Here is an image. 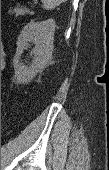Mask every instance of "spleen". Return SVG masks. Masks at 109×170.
I'll use <instances>...</instances> for the list:
<instances>
[{"label": "spleen", "instance_id": "3e777b00", "mask_svg": "<svg viewBox=\"0 0 109 170\" xmlns=\"http://www.w3.org/2000/svg\"><path fill=\"white\" fill-rule=\"evenodd\" d=\"M47 8H52L65 0H41Z\"/></svg>", "mask_w": 109, "mask_h": 170}]
</instances>
